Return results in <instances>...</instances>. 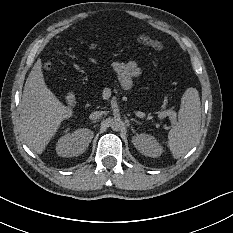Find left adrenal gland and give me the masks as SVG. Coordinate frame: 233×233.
<instances>
[{"label":"left adrenal gland","instance_id":"obj_1","mask_svg":"<svg viewBox=\"0 0 233 233\" xmlns=\"http://www.w3.org/2000/svg\"><path fill=\"white\" fill-rule=\"evenodd\" d=\"M131 120L138 122V120H137V119H134V118H131Z\"/></svg>","mask_w":233,"mask_h":233}]
</instances>
